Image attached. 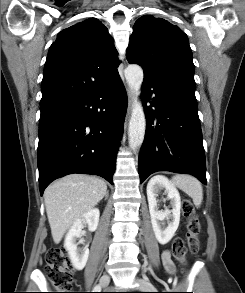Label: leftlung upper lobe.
Segmentation results:
<instances>
[{
    "mask_svg": "<svg viewBox=\"0 0 245 293\" xmlns=\"http://www.w3.org/2000/svg\"><path fill=\"white\" fill-rule=\"evenodd\" d=\"M126 55L129 63L143 68L144 80L196 101L192 51L178 26L142 16L134 24Z\"/></svg>",
    "mask_w": 245,
    "mask_h": 293,
    "instance_id": "left-lung-upper-lobe-1",
    "label": "left lung upper lobe"
}]
</instances>
